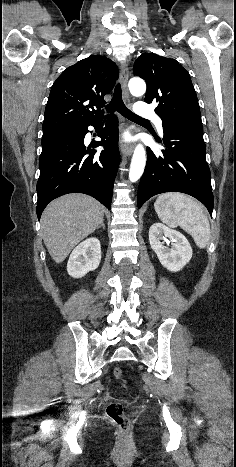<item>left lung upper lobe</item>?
Returning <instances> with one entry per match:
<instances>
[{
    "instance_id": "obj_1",
    "label": "left lung upper lobe",
    "mask_w": 236,
    "mask_h": 467,
    "mask_svg": "<svg viewBox=\"0 0 236 467\" xmlns=\"http://www.w3.org/2000/svg\"><path fill=\"white\" fill-rule=\"evenodd\" d=\"M134 74L147 83L145 102H158L155 112L163 126L202 124L190 75L176 60L142 53L134 63Z\"/></svg>"
}]
</instances>
